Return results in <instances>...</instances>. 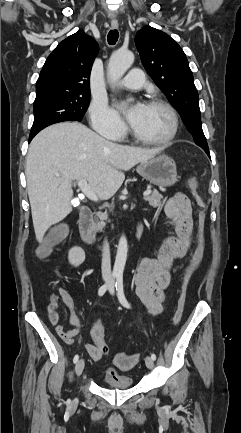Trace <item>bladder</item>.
I'll list each match as a JSON object with an SVG mask.
<instances>
[{
	"instance_id": "obj_1",
	"label": "bladder",
	"mask_w": 241,
	"mask_h": 433,
	"mask_svg": "<svg viewBox=\"0 0 241 433\" xmlns=\"http://www.w3.org/2000/svg\"><path fill=\"white\" fill-rule=\"evenodd\" d=\"M104 386L110 389H128L133 386L131 376L121 373L106 372L103 376Z\"/></svg>"
}]
</instances>
